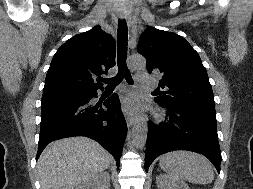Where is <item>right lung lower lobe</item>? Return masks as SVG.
Instances as JSON below:
<instances>
[{
	"instance_id": "obj_1",
	"label": "right lung lower lobe",
	"mask_w": 253,
	"mask_h": 189,
	"mask_svg": "<svg viewBox=\"0 0 253 189\" xmlns=\"http://www.w3.org/2000/svg\"><path fill=\"white\" fill-rule=\"evenodd\" d=\"M96 90L83 96L55 95L42 98L38 159L44 148L53 140L67 136H86L98 141L115 158L117 168L122 154L127 124L120 110L117 94L103 105H92ZM115 114L117 118H115Z\"/></svg>"
}]
</instances>
